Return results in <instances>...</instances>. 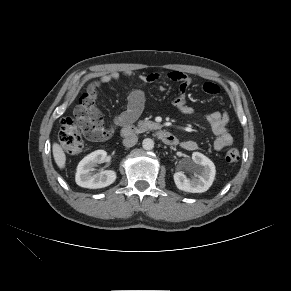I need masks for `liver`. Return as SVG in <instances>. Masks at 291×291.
Returning <instances> with one entry per match:
<instances>
[{
    "mask_svg": "<svg viewBox=\"0 0 291 291\" xmlns=\"http://www.w3.org/2000/svg\"><path fill=\"white\" fill-rule=\"evenodd\" d=\"M54 160L60 169H63L66 164V155L58 143H53L52 146Z\"/></svg>",
    "mask_w": 291,
    "mask_h": 291,
    "instance_id": "6515ba94",
    "label": "liver"
}]
</instances>
